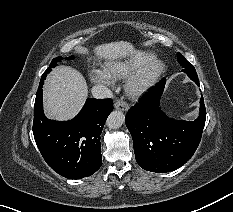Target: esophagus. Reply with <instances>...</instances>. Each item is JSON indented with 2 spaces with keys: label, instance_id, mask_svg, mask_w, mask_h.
Returning <instances> with one entry per match:
<instances>
[{
  "label": "esophagus",
  "instance_id": "esophagus-1",
  "mask_svg": "<svg viewBox=\"0 0 233 212\" xmlns=\"http://www.w3.org/2000/svg\"><path fill=\"white\" fill-rule=\"evenodd\" d=\"M114 107H115V109L121 110L123 112H126L129 109L128 103L125 101H120V100L115 102Z\"/></svg>",
  "mask_w": 233,
  "mask_h": 212
}]
</instances>
